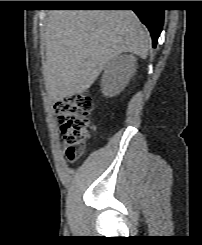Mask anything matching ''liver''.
Wrapping results in <instances>:
<instances>
[{
	"label": "liver",
	"instance_id": "liver-1",
	"mask_svg": "<svg viewBox=\"0 0 202 245\" xmlns=\"http://www.w3.org/2000/svg\"><path fill=\"white\" fill-rule=\"evenodd\" d=\"M43 37V75L53 101L90 88L122 53L145 59L151 46L149 33L131 10H53Z\"/></svg>",
	"mask_w": 202,
	"mask_h": 245
}]
</instances>
